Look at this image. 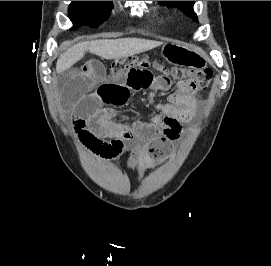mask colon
Returning a JSON list of instances; mask_svg holds the SVG:
<instances>
[{
    "mask_svg": "<svg viewBox=\"0 0 271 266\" xmlns=\"http://www.w3.org/2000/svg\"><path fill=\"white\" fill-rule=\"evenodd\" d=\"M151 65L152 63L145 57H128L114 61L110 66V72L112 75H116L133 66ZM156 68L179 80L181 88L190 93L206 90L212 80V72L209 69L188 71L184 69L167 68L164 65H156Z\"/></svg>",
    "mask_w": 271,
    "mask_h": 266,
    "instance_id": "5ec220e1",
    "label": "colon"
}]
</instances>
